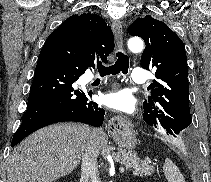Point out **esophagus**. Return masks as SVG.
<instances>
[{"label":"esophagus","instance_id":"34e87169","mask_svg":"<svg viewBox=\"0 0 211 182\" xmlns=\"http://www.w3.org/2000/svg\"><path fill=\"white\" fill-rule=\"evenodd\" d=\"M112 29L115 35V39L117 42V46L119 49H122L123 47V29H122V24L119 20H114L112 23ZM125 118L122 116H116L113 117L111 120H109V126L110 127H118L124 125Z\"/></svg>","mask_w":211,"mask_h":182}]
</instances>
